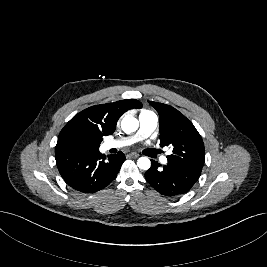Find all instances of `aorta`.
<instances>
[{
    "mask_svg": "<svg viewBox=\"0 0 267 267\" xmlns=\"http://www.w3.org/2000/svg\"><path fill=\"white\" fill-rule=\"evenodd\" d=\"M138 127H139V121L135 117L126 115L121 121V128L127 134L135 132L138 129ZM137 166L141 170H148L151 166V161L147 157H140L137 160Z\"/></svg>",
    "mask_w": 267,
    "mask_h": 267,
    "instance_id": "762f6f07",
    "label": "aorta"
}]
</instances>
